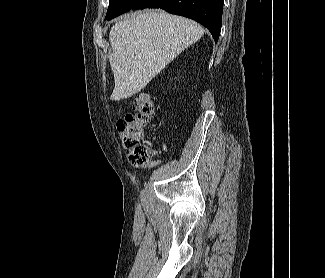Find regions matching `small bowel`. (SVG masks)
<instances>
[{
    "label": "small bowel",
    "instance_id": "1",
    "mask_svg": "<svg viewBox=\"0 0 325 278\" xmlns=\"http://www.w3.org/2000/svg\"><path fill=\"white\" fill-rule=\"evenodd\" d=\"M157 162H154L152 165H155Z\"/></svg>",
    "mask_w": 325,
    "mask_h": 278
}]
</instances>
